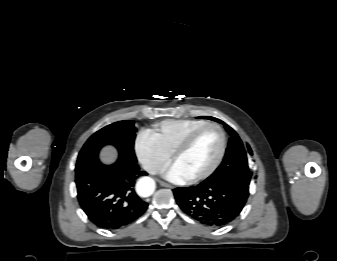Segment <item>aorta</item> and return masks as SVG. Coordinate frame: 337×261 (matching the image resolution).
Returning a JSON list of instances; mask_svg holds the SVG:
<instances>
[{
	"label": "aorta",
	"instance_id": "1",
	"mask_svg": "<svg viewBox=\"0 0 337 261\" xmlns=\"http://www.w3.org/2000/svg\"><path fill=\"white\" fill-rule=\"evenodd\" d=\"M136 190L140 196L148 197L155 190V182L150 177H142L136 183Z\"/></svg>",
	"mask_w": 337,
	"mask_h": 261
}]
</instances>
